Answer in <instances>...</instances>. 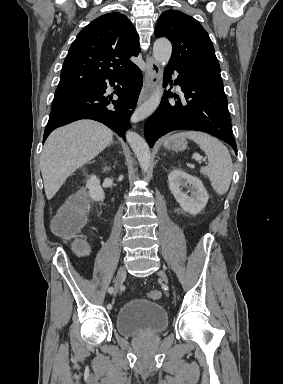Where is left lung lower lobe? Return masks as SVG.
Segmentation results:
<instances>
[{
    "mask_svg": "<svg viewBox=\"0 0 283 384\" xmlns=\"http://www.w3.org/2000/svg\"><path fill=\"white\" fill-rule=\"evenodd\" d=\"M174 70L179 73L175 82L181 87L182 97L187 102L170 103L167 98L162 99L158 109L145 123L144 134L148 144L153 146L159 137L174 130H197L220 138L237 154L223 82L194 76L168 65L165 69L166 82L171 79ZM166 94L172 97L170 91Z\"/></svg>",
    "mask_w": 283,
    "mask_h": 384,
    "instance_id": "0a47b994",
    "label": "left lung lower lobe"
}]
</instances>
